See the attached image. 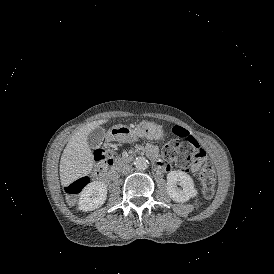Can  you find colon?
<instances>
[{"mask_svg": "<svg viewBox=\"0 0 274 274\" xmlns=\"http://www.w3.org/2000/svg\"><path fill=\"white\" fill-rule=\"evenodd\" d=\"M197 147L190 146L177 140L165 142L162 147V157L165 160L171 161L180 169L191 167L197 161L195 150ZM199 167L197 168L200 187L199 194L206 199L213 197L214 187L216 181V173L214 165L210 161H197ZM92 178L90 175H79L76 180H71L70 184L65 187V194L68 197V203L73 204L81 189H88Z\"/></svg>", "mask_w": 274, "mask_h": 274, "instance_id": "colon-1", "label": "colon"}]
</instances>
